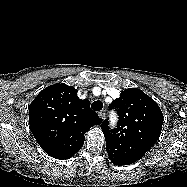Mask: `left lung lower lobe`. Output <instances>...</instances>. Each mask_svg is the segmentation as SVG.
I'll use <instances>...</instances> for the list:
<instances>
[{
	"label": "left lung lower lobe",
	"mask_w": 187,
	"mask_h": 187,
	"mask_svg": "<svg viewBox=\"0 0 187 187\" xmlns=\"http://www.w3.org/2000/svg\"><path fill=\"white\" fill-rule=\"evenodd\" d=\"M107 153H108V156H109L110 160L115 165L122 166V165H129V164H131V162L127 161L126 159L120 157L117 154H114V153H112L110 151H107Z\"/></svg>",
	"instance_id": "1"
}]
</instances>
